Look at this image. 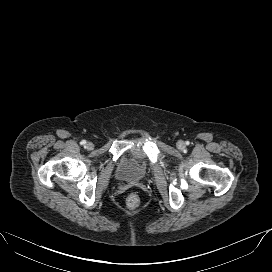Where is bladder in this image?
Segmentation results:
<instances>
[{
	"label": "bladder",
	"mask_w": 272,
	"mask_h": 272,
	"mask_svg": "<svg viewBox=\"0 0 272 272\" xmlns=\"http://www.w3.org/2000/svg\"><path fill=\"white\" fill-rule=\"evenodd\" d=\"M148 172L146 156L139 151H129L118 160L114 173L120 182L138 183L147 177Z\"/></svg>",
	"instance_id": "bladder-1"
}]
</instances>
